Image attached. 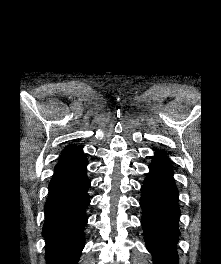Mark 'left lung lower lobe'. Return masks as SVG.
Segmentation results:
<instances>
[{
    "label": "left lung lower lobe",
    "mask_w": 221,
    "mask_h": 264,
    "mask_svg": "<svg viewBox=\"0 0 221 264\" xmlns=\"http://www.w3.org/2000/svg\"><path fill=\"white\" fill-rule=\"evenodd\" d=\"M149 169L140 199L146 246L154 264H177L180 209L178 189L166 153L157 151Z\"/></svg>",
    "instance_id": "left-lung-lower-lobe-1"
}]
</instances>
